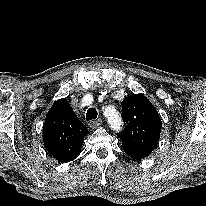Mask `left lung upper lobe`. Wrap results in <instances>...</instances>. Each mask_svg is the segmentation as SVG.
Masks as SVG:
<instances>
[{"label":"left lung upper lobe","mask_w":206,"mask_h":206,"mask_svg":"<svg viewBox=\"0 0 206 206\" xmlns=\"http://www.w3.org/2000/svg\"><path fill=\"white\" fill-rule=\"evenodd\" d=\"M125 128L118 134L124 151L143 152L149 155L160 138L162 121L152 103L136 94L122 101L121 114Z\"/></svg>","instance_id":"5c2ea615"}]
</instances>
